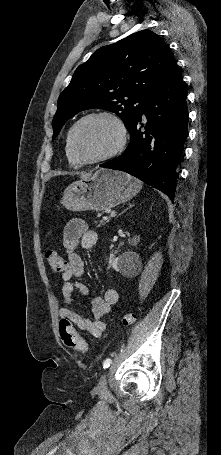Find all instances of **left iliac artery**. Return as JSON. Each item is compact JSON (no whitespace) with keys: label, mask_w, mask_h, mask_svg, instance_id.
I'll list each match as a JSON object with an SVG mask.
<instances>
[{"label":"left iliac artery","mask_w":221,"mask_h":455,"mask_svg":"<svg viewBox=\"0 0 221 455\" xmlns=\"http://www.w3.org/2000/svg\"><path fill=\"white\" fill-rule=\"evenodd\" d=\"M112 363V360L110 358L106 359L104 362H103V368L104 369H107Z\"/></svg>","instance_id":"obj_1"}]
</instances>
